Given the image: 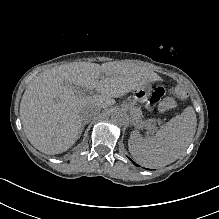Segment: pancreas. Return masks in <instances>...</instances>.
Here are the masks:
<instances>
[{"label": "pancreas", "mask_w": 219, "mask_h": 219, "mask_svg": "<svg viewBox=\"0 0 219 219\" xmlns=\"http://www.w3.org/2000/svg\"><path fill=\"white\" fill-rule=\"evenodd\" d=\"M130 113H131L130 118L136 127H140V126L146 125V124H148V126L150 125V121H148V122L142 121L141 115H140L141 112L139 114H134L132 112V108H131Z\"/></svg>", "instance_id": "cf45deb5"}]
</instances>
